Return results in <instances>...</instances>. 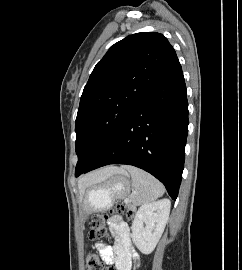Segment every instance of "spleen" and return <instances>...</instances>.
<instances>
[{"label": "spleen", "instance_id": "spleen-1", "mask_svg": "<svg viewBox=\"0 0 242 270\" xmlns=\"http://www.w3.org/2000/svg\"><path fill=\"white\" fill-rule=\"evenodd\" d=\"M125 169L132 178V187L134 188L132 202L134 205L148 204L162 197L164 187L156 178L133 166H126Z\"/></svg>", "mask_w": 242, "mask_h": 270}]
</instances>
